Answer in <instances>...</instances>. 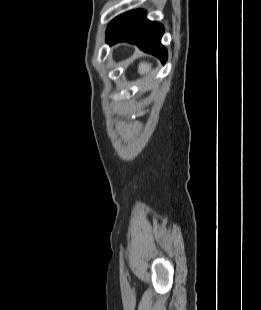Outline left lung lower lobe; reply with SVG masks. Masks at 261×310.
I'll list each match as a JSON object with an SVG mask.
<instances>
[{
	"label": "left lung lower lobe",
	"instance_id": "1",
	"mask_svg": "<svg viewBox=\"0 0 261 310\" xmlns=\"http://www.w3.org/2000/svg\"><path fill=\"white\" fill-rule=\"evenodd\" d=\"M164 28L157 22L149 21L146 12L133 10L116 17L106 31V42L126 41L136 44L140 49L158 57L163 63L167 60V51L161 44Z\"/></svg>",
	"mask_w": 261,
	"mask_h": 310
}]
</instances>
